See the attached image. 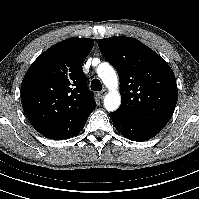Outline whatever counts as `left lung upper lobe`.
<instances>
[{
  "instance_id": "1",
  "label": "left lung upper lobe",
  "mask_w": 199,
  "mask_h": 199,
  "mask_svg": "<svg viewBox=\"0 0 199 199\" xmlns=\"http://www.w3.org/2000/svg\"><path fill=\"white\" fill-rule=\"evenodd\" d=\"M98 46L119 75L122 101L118 110L162 130L178 99L176 79L170 66L135 38L99 39Z\"/></svg>"
}]
</instances>
